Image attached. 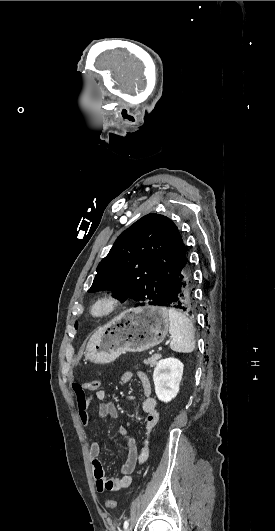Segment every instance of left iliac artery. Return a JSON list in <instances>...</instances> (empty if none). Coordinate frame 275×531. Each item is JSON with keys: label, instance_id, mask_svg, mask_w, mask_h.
Segmentation results:
<instances>
[{"label": "left iliac artery", "instance_id": "left-iliac-artery-1", "mask_svg": "<svg viewBox=\"0 0 275 531\" xmlns=\"http://www.w3.org/2000/svg\"><path fill=\"white\" fill-rule=\"evenodd\" d=\"M128 526H129V522H128V520H126V521L124 522V526H123V527H124V529H127Z\"/></svg>", "mask_w": 275, "mask_h": 531}]
</instances>
